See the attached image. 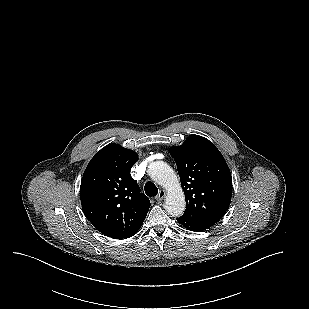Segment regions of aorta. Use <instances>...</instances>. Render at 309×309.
Wrapping results in <instances>:
<instances>
[{
    "instance_id": "762f6f07",
    "label": "aorta",
    "mask_w": 309,
    "mask_h": 309,
    "mask_svg": "<svg viewBox=\"0 0 309 309\" xmlns=\"http://www.w3.org/2000/svg\"><path fill=\"white\" fill-rule=\"evenodd\" d=\"M148 174L153 181L163 186L167 191L165 209L172 217H179L185 211V195L174 170L163 161L149 165Z\"/></svg>"
}]
</instances>
